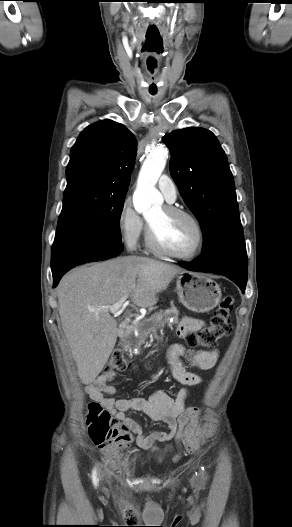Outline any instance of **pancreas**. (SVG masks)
<instances>
[{
  "label": "pancreas",
  "mask_w": 292,
  "mask_h": 527,
  "mask_svg": "<svg viewBox=\"0 0 292 527\" xmlns=\"http://www.w3.org/2000/svg\"><path fill=\"white\" fill-rule=\"evenodd\" d=\"M179 311L177 308L172 307L165 311H160L152 315L148 319H144L137 325L138 339L139 342L143 343L146 338L155 330L164 327L165 324L172 326L178 323ZM170 319L173 321L171 322Z\"/></svg>",
  "instance_id": "cf45deb5"
}]
</instances>
